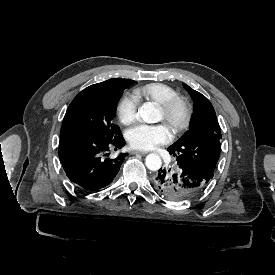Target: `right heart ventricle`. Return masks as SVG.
Returning a JSON list of instances; mask_svg holds the SVG:
<instances>
[{"instance_id": "e07e8e85", "label": "right heart ventricle", "mask_w": 275, "mask_h": 275, "mask_svg": "<svg viewBox=\"0 0 275 275\" xmlns=\"http://www.w3.org/2000/svg\"><path fill=\"white\" fill-rule=\"evenodd\" d=\"M138 99H145L161 103L177 95L176 91L169 85L162 82H149L134 90Z\"/></svg>"}]
</instances>
